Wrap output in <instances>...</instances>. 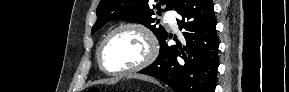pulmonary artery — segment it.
Wrapping results in <instances>:
<instances>
[{"mask_svg":"<svg viewBox=\"0 0 289 92\" xmlns=\"http://www.w3.org/2000/svg\"><path fill=\"white\" fill-rule=\"evenodd\" d=\"M164 19L173 29L177 28V21L175 14L173 12L171 11L166 12L164 15Z\"/></svg>","mask_w":289,"mask_h":92,"instance_id":"pulmonary-artery-1","label":"pulmonary artery"}]
</instances>
